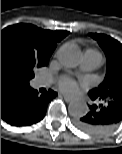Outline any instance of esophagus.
Here are the masks:
<instances>
[{
    "mask_svg": "<svg viewBox=\"0 0 122 154\" xmlns=\"http://www.w3.org/2000/svg\"><path fill=\"white\" fill-rule=\"evenodd\" d=\"M62 96H63V98H64V100H65L66 102H71V101H73V98L70 97V96H68V95L62 94Z\"/></svg>",
    "mask_w": 122,
    "mask_h": 154,
    "instance_id": "esophagus-1",
    "label": "esophagus"
}]
</instances>
